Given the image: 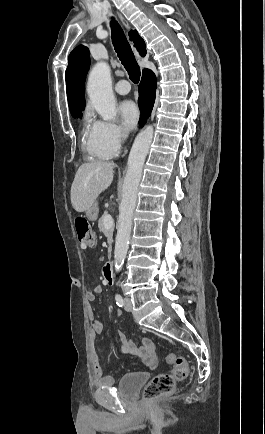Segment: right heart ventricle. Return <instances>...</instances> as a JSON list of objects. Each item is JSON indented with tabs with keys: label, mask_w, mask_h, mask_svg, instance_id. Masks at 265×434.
I'll list each match as a JSON object with an SVG mask.
<instances>
[{
	"label": "right heart ventricle",
	"mask_w": 265,
	"mask_h": 434,
	"mask_svg": "<svg viewBox=\"0 0 265 434\" xmlns=\"http://www.w3.org/2000/svg\"><path fill=\"white\" fill-rule=\"evenodd\" d=\"M83 132H82V149L85 152L87 159L91 162L109 160L108 154L95 153L93 151L94 145L92 143L90 133V115L88 111L83 113L82 118ZM114 156V154H113Z\"/></svg>",
	"instance_id": "right-heart-ventricle-1"
}]
</instances>
